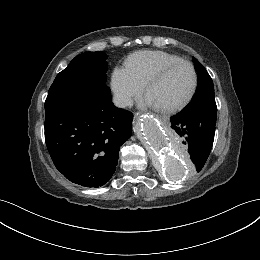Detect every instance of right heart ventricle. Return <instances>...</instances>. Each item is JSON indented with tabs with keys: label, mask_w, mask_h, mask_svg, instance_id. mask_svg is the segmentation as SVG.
I'll use <instances>...</instances> for the list:
<instances>
[{
	"label": "right heart ventricle",
	"mask_w": 260,
	"mask_h": 260,
	"mask_svg": "<svg viewBox=\"0 0 260 260\" xmlns=\"http://www.w3.org/2000/svg\"><path fill=\"white\" fill-rule=\"evenodd\" d=\"M180 59L163 51H138L127 58L125 70L135 81L144 85L158 68Z\"/></svg>",
	"instance_id": "right-heart-ventricle-1"
}]
</instances>
